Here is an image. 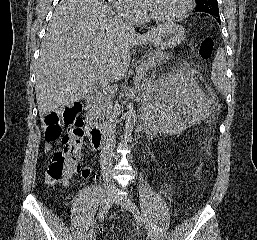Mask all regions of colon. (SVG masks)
<instances>
[{
    "mask_svg": "<svg viewBox=\"0 0 257 240\" xmlns=\"http://www.w3.org/2000/svg\"><path fill=\"white\" fill-rule=\"evenodd\" d=\"M214 51V40L211 37L202 39L198 53L203 60H209ZM84 120L80 104H72L62 112H51L45 117V138L47 141L60 140L63 150L56 152L46 171L47 181L51 184L66 186L77 174L84 175L80 157L84 143ZM66 132L63 133V128Z\"/></svg>",
    "mask_w": 257,
    "mask_h": 240,
    "instance_id": "colon-1",
    "label": "colon"
}]
</instances>
